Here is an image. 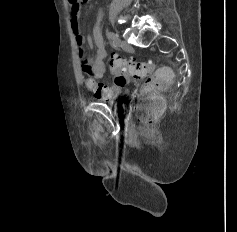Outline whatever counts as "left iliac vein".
I'll return each mask as SVG.
<instances>
[{
	"label": "left iliac vein",
	"mask_w": 237,
	"mask_h": 232,
	"mask_svg": "<svg viewBox=\"0 0 237 232\" xmlns=\"http://www.w3.org/2000/svg\"><path fill=\"white\" fill-rule=\"evenodd\" d=\"M118 39V38H117ZM121 47L125 50V51H129L132 49L131 45L127 42V41H122L121 42Z\"/></svg>",
	"instance_id": "left-iliac-vein-1"
}]
</instances>
